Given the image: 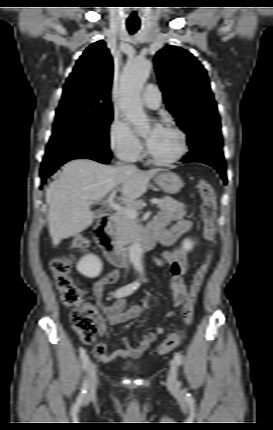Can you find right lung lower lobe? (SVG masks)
<instances>
[{"mask_svg":"<svg viewBox=\"0 0 273 430\" xmlns=\"http://www.w3.org/2000/svg\"><path fill=\"white\" fill-rule=\"evenodd\" d=\"M79 158H87L98 161L100 163H108L110 161V152H82L71 154L57 160H54L50 163L43 164L40 172V176L42 182L46 181V178L52 175L61 165L66 163L67 161Z\"/></svg>","mask_w":273,"mask_h":430,"instance_id":"right-lung-lower-lobe-1","label":"right lung lower lobe"}]
</instances>
